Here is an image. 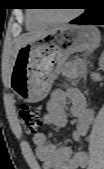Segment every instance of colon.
<instances>
[{
  "label": "colon",
  "instance_id": "5ec220e1",
  "mask_svg": "<svg viewBox=\"0 0 104 169\" xmlns=\"http://www.w3.org/2000/svg\"><path fill=\"white\" fill-rule=\"evenodd\" d=\"M18 112L25 130L32 135L38 134V131L42 127L40 111L28 105H21Z\"/></svg>",
  "mask_w": 104,
  "mask_h": 169
}]
</instances>
